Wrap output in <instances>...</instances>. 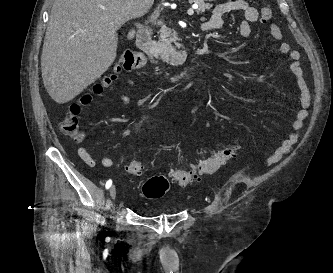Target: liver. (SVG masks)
<instances>
[{"instance_id":"liver-1","label":"liver","mask_w":333,"mask_h":273,"mask_svg":"<svg viewBox=\"0 0 333 273\" xmlns=\"http://www.w3.org/2000/svg\"><path fill=\"white\" fill-rule=\"evenodd\" d=\"M154 0H54L41 55L44 86L63 104L108 70L117 31L146 14Z\"/></svg>"}]
</instances>
